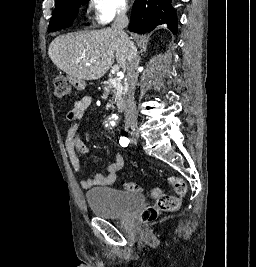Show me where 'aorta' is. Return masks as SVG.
I'll use <instances>...</instances> for the list:
<instances>
[{
    "instance_id": "1",
    "label": "aorta",
    "mask_w": 256,
    "mask_h": 267,
    "mask_svg": "<svg viewBox=\"0 0 256 267\" xmlns=\"http://www.w3.org/2000/svg\"><path fill=\"white\" fill-rule=\"evenodd\" d=\"M106 122H115V117H106Z\"/></svg>"
}]
</instances>
